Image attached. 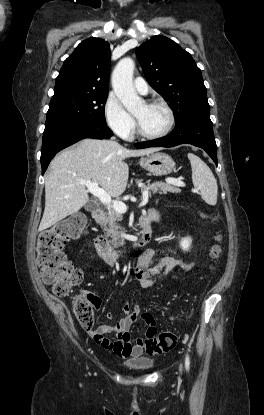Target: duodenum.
I'll use <instances>...</instances> for the list:
<instances>
[{
  "label": "duodenum",
  "instance_id": "1",
  "mask_svg": "<svg viewBox=\"0 0 264 415\" xmlns=\"http://www.w3.org/2000/svg\"><path fill=\"white\" fill-rule=\"evenodd\" d=\"M105 218V207L103 205H98L92 211V220L96 229L94 243L99 257L107 265L114 266L118 264L125 253L147 244L151 239L152 233L149 228L150 221L147 217L142 216L139 220V229L137 235L132 239L124 241L119 249H113L110 242L106 239L100 230L103 223L105 222Z\"/></svg>",
  "mask_w": 264,
  "mask_h": 415
}]
</instances>
